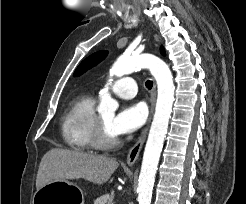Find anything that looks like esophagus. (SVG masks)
<instances>
[{"instance_id":"esophagus-1","label":"esophagus","mask_w":246,"mask_h":204,"mask_svg":"<svg viewBox=\"0 0 246 204\" xmlns=\"http://www.w3.org/2000/svg\"><path fill=\"white\" fill-rule=\"evenodd\" d=\"M155 101H156V85L154 84L153 90H152V95H151V105H150V115L148 118V122L145 126V128L142 130L139 138L137 139L136 143L134 146L130 149L127 159H126V164L128 166H132L135 164L136 160L138 159L139 153L144 145V142L146 140V136L149 130L151 118L153 115L154 111V106H155Z\"/></svg>"}]
</instances>
